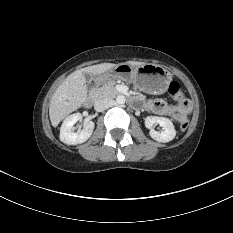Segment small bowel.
<instances>
[{
	"label": "small bowel",
	"mask_w": 233,
	"mask_h": 233,
	"mask_svg": "<svg viewBox=\"0 0 233 233\" xmlns=\"http://www.w3.org/2000/svg\"><path fill=\"white\" fill-rule=\"evenodd\" d=\"M145 107L155 114L169 116L178 122L186 118L191 109L190 103L187 101L178 106H171L162 100L147 101Z\"/></svg>",
	"instance_id": "obj_1"
}]
</instances>
